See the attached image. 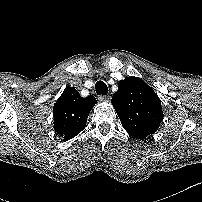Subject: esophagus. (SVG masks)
<instances>
[{
	"instance_id": "esophagus-1",
	"label": "esophagus",
	"mask_w": 202,
	"mask_h": 202,
	"mask_svg": "<svg viewBox=\"0 0 202 202\" xmlns=\"http://www.w3.org/2000/svg\"><path fill=\"white\" fill-rule=\"evenodd\" d=\"M111 99L110 95H98V100L100 101H109Z\"/></svg>"
}]
</instances>
